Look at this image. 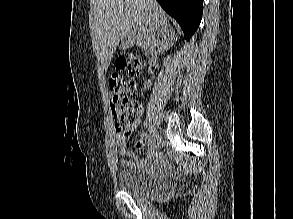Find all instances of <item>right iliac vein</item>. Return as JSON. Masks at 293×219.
I'll use <instances>...</instances> for the list:
<instances>
[{
  "mask_svg": "<svg viewBox=\"0 0 293 219\" xmlns=\"http://www.w3.org/2000/svg\"><path fill=\"white\" fill-rule=\"evenodd\" d=\"M156 139H157V134L153 132L149 138V143L154 144L156 142Z\"/></svg>",
  "mask_w": 293,
  "mask_h": 219,
  "instance_id": "1",
  "label": "right iliac vein"
}]
</instances>
